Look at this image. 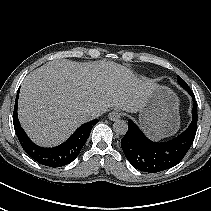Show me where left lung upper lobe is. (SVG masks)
<instances>
[{"label": "left lung upper lobe", "instance_id": "obj_1", "mask_svg": "<svg viewBox=\"0 0 211 211\" xmlns=\"http://www.w3.org/2000/svg\"><path fill=\"white\" fill-rule=\"evenodd\" d=\"M177 82L180 84V86H186L187 83L179 76H177Z\"/></svg>", "mask_w": 211, "mask_h": 211}]
</instances>
